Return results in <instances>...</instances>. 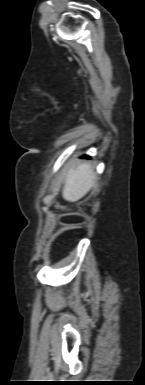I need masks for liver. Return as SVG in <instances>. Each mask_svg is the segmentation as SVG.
I'll return each mask as SVG.
<instances>
[{"label":"liver","instance_id":"liver-1","mask_svg":"<svg viewBox=\"0 0 145 385\" xmlns=\"http://www.w3.org/2000/svg\"><path fill=\"white\" fill-rule=\"evenodd\" d=\"M76 166L69 170L62 191L63 198L69 202H76L84 197L96 180L91 164L78 162Z\"/></svg>","mask_w":145,"mask_h":385}]
</instances>
